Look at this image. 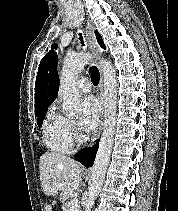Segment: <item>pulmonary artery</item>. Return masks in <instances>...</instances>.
Wrapping results in <instances>:
<instances>
[{"label":"pulmonary artery","mask_w":178,"mask_h":211,"mask_svg":"<svg viewBox=\"0 0 178 211\" xmlns=\"http://www.w3.org/2000/svg\"><path fill=\"white\" fill-rule=\"evenodd\" d=\"M77 88L81 92L88 93L91 89V81L88 78L83 77L78 81Z\"/></svg>","instance_id":"pulmonary-artery-1"}]
</instances>
